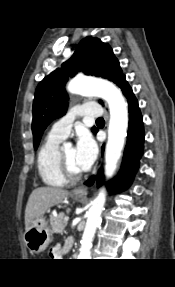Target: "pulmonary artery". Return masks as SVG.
<instances>
[{
    "label": "pulmonary artery",
    "instance_id": "pulmonary-artery-1",
    "mask_svg": "<svg viewBox=\"0 0 175 287\" xmlns=\"http://www.w3.org/2000/svg\"><path fill=\"white\" fill-rule=\"evenodd\" d=\"M101 115L102 109L98 104L86 103L82 106L73 107L66 116L52 125L50 134L61 139H65L68 136L76 117H98Z\"/></svg>",
    "mask_w": 175,
    "mask_h": 287
}]
</instances>
